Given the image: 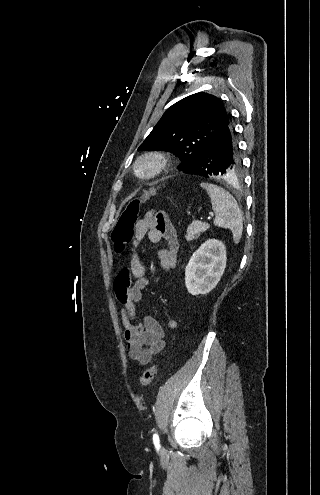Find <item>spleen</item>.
Returning a JSON list of instances; mask_svg holds the SVG:
<instances>
[{"instance_id": "1", "label": "spleen", "mask_w": 320, "mask_h": 495, "mask_svg": "<svg viewBox=\"0 0 320 495\" xmlns=\"http://www.w3.org/2000/svg\"><path fill=\"white\" fill-rule=\"evenodd\" d=\"M211 199L212 209L215 212L214 225L229 229L233 233L235 244L240 242L243 222L242 213L236 199L225 189L211 183H201Z\"/></svg>"}]
</instances>
